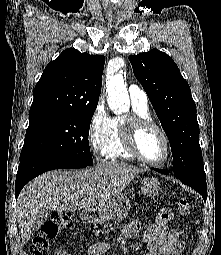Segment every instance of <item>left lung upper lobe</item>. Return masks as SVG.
<instances>
[{
    "mask_svg": "<svg viewBox=\"0 0 221 255\" xmlns=\"http://www.w3.org/2000/svg\"><path fill=\"white\" fill-rule=\"evenodd\" d=\"M129 60L169 139L174 175L205 177L196 105L176 63L158 49L131 55Z\"/></svg>",
    "mask_w": 221,
    "mask_h": 255,
    "instance_id": "1",
    "label": "left lung upper lobe"
}]
</instances>
